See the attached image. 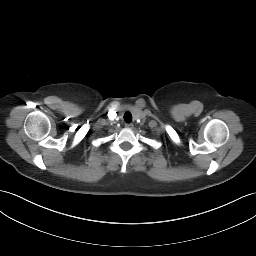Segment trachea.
<instances>
[{
    "instance_id": "1",
    "label": "trachea",
    "mask_w": 256,
    "mask_h": 256,
    "mask_svg": "<svg viewBox=\"0 0 256 256\" xmlns=\"http://www.w3.org/2000/svg\"><path fill=\"white\" fill-rule=\"evenodd\" d=\"M124 120H125V122H127V123H131V121H132V115H131L130 112H126V113L124 114Z\"/></svg>"
}]
</instances>
